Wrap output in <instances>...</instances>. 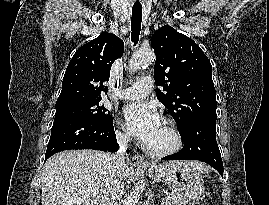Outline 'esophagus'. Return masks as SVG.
<instances>
[{
  "label": "esophagus",
  "instance_id": "obj_1",
  "mask_svg": "<svg viewBox=\"0 0 269 205\" xmlns=\"http://www.w3.org/2000/svg\"><path fill=\"white\" fill-rule=\"evenodd\" d=\"M132 161L135 165H148L144 157L140 154H135L132 158Z\"/></svg>",
  "mask_w": 269,
  "mask_h": 205
}]
</instances>
